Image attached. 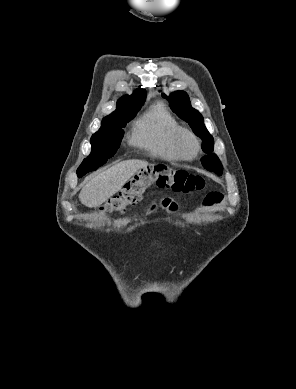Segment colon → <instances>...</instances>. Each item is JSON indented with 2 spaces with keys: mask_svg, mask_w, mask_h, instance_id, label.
Wrapping results in <instances>:
<instances>
[{
  "mask_svg": "<svg viewBox=\"0 0 296 389\" xmlns=\"http://www.w3.org/2000/svg\"><path fill=\"white\" fill-rule=\"evenodd\" d=\"M151 186L188 194L203 190L205 181L201 176L166 164H149L127 181L122 190L101 208V212H124L128 206L138 203Z\"/></svg>",
  "mask_w": 296,
  "mask_h": 389,
  "instance_id": "colon-1",
  "label": "colon"
}]
</instances>
